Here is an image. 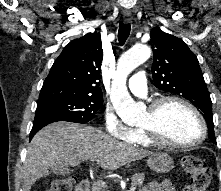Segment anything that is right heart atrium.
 <instances>
[{
    "mask_svg": "<svg viewBox=\"0 0 221 191\" xmlns=\"http://www.w3.org/2000/svg\"><path fill=\"white\" fill-rule=\"evenodd\" d=\"M103 122L106 132L110 136L125 142L132 139L134 129L124 124L111 106L105 108Z\"/></svg>",
    "mask_w": 221,
    "mask_h": 191,
    "instance_id": "right-heart-atrium-1",
    "label": "right heart atrium"
}]
</instances>
